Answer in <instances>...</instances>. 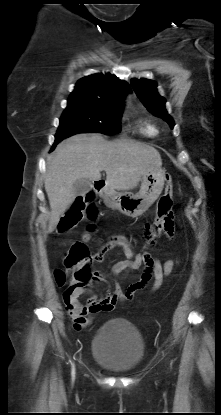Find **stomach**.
Wrapping results in <instances>:
<instances>
[{"label":"stomach","mask_w":221,"mask_h":415,"mask_svg":"<svg viewBox=\"0 0 221 415\" xmlns=\"http://www.w3.org/2000/svg\"><path fill=\"white\" fill-rule=\"evenodd\" d=\"M165 182V171L156 168L146 172L141 179L140 190L136 193H119L110 189L102 192L105 204L129 217H138L160 196Z\"/></svg>","instance_id":"1"}]
</instances>
